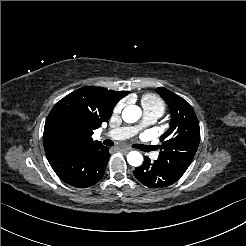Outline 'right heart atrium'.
Segmentation results:
<instances>
[{"instance_id": "d8ad5b80", "label": "right heart atrium", "mask_w": 246, "mask_h": 246, "mask_svg": "<svg viewBox=\"0 0 246 246\" xmlns=\"http://www.w3.org/2000/svg\"><path fill=\"white\" fill-rule=\"evenodd\" d=\"M127 102L128 100L126 98L121 99L119 102H117L113 107V113L114 114L121 113L124 107L126 106Z\"/></svg>"}]
</instances>
